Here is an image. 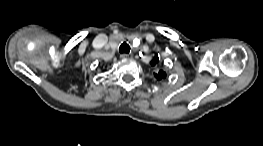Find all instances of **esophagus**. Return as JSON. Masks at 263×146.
Returning <instances> with one entry per match:
<instances>
[{
    "label": "esophagus",
    "mask_w": 263,
    "mask_h": 146,
    "mask_svg": "<svg viewBox=\"0 0 263 146\" xmlns=\"http://www.w3.org/2000/svg\"><path fill=\"white\" fill-rule=\"evenodd\" d=\"M129 54H127V53H123V54H121L120 55V57L122 58V59H127V58H129Z\"/></svg>",
    "instance_id": "obj_1"
}]
</instances>
